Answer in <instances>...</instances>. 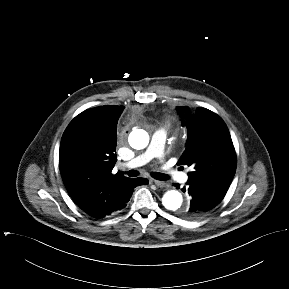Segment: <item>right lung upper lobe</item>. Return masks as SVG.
Listing matches in <instances>:
<instances>
[{
    "label": "right lung upper lobe",
    "instance_id": "cb5924a9",
    "mask_svg": "<svg viewBox=\"0 0 289 289\" xmlns=\"http://www.w3.org/2000/svg\"><path fill=\"white\" fill-rule=\"evenodd\" d=\"M124 106H100L77 115L60 144L59 168L74 202L102 218L117 211L133 179L112 174L117 161V122Z\"/></svg>",
    "mask_w": 289,
    "mask_h": 289
}]
</instances>
